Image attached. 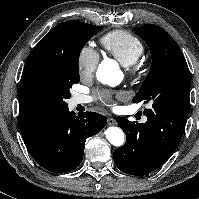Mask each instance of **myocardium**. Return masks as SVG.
<instances>
[{"mask_svg":"<svg viewBox=\"0 0 199 199\" xmlns=\"http://www.w3.org/2000/svg\"><path fill=\"white\" fill-rule=\"evenodd\" d=\"M128 73L133 76L140 78L145 74L144 66L137 60L135 63L127 66Z\"/></svg>","mask_w":199,"mask_h":199,"instance_id":"1","label":"myocardium"}]
</instances>
